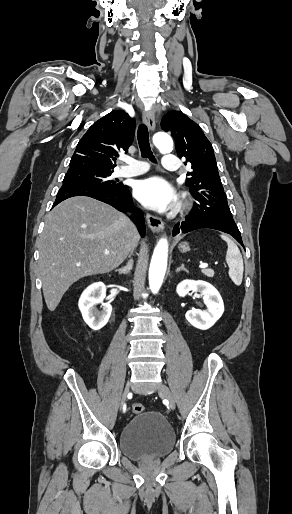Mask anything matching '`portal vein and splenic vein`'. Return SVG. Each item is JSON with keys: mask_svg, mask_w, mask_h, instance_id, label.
Segmentation results:
<instances>
[{"mask_svg": "<svg viewBox=\"0 0 292 514\" xmlns=\"http://www.w3.org/2000/svg\"><path fill=\"white\" fill-rule=\"evenodd\" d=\"M105 254H110V252H108V250H106ZM208 264H201V266H199V268H207Z\"/></svg>", "mask_w": 292, "mask_h": 514, "instance_id": "portal-vein-and-splenic-vein-1", "label": "portal vein and splenic vein"}]
</instances>
